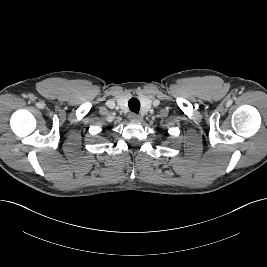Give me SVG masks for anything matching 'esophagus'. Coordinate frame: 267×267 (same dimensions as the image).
Here are the masks:
<instances>
[{
    "instance_id": "esophagus-1",
    "label": "esophagus",
    "mask_w": 267,
    "mask_h": 267,
    "mask_svg": "<svg viewBox=\"0 0 267 267\" xmlns=\"http://www.w3.org/2000/svg\"><path fill=\"white\" fill-rule=\"evenodd\" d=\"M129 119H130L131 121H141V120H142L141 116H139V115H137V114H135V113H131V114L129 115Z\"/></svg>"
}]
</instances>
